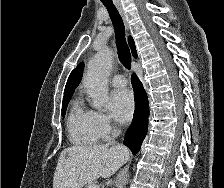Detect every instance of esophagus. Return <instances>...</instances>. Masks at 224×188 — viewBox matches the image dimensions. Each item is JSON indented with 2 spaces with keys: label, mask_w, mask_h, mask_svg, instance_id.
<instances>
[{
  "label": "esophagus",
  "mask_w": 224,
  "mask_h": 188,
  "mask_svg": "<svg viewBox=\"0 0 224 188\" xmlns=\"http://www.w3.org/2000/svg\"><path fill=\"white\" fill-rule=\"evenodd\" d=\"M115 5H116V7H117V9H118L122 19H123V22H124V25H125L126 29L129 30L128 21H127L126 15L124 13V10H123L121 4L120 3H116Z\"/></svg>",
  "instance_id": "1"
}]
</instances>
